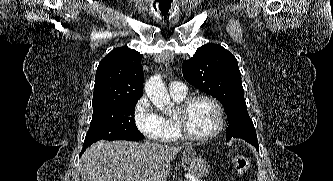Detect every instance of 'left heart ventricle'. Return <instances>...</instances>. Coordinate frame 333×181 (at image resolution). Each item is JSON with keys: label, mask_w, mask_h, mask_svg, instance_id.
<instances>
[{"label": "left heart ventricle", "mask_w": 333, "mask_h": 181, "mask_svg": "<svg viewBox=\"0 0 333 181\" xmlns=\"http://www.w3.org/2000/svg\"><path fill=\"white\" fill-rule=\"evenodd\" d=\"M186 123L193 134L197 136L208 135L217 127V112L210 102L199 100L188 110Z\"/></svg>", "instance_id": "left-heart-ventricle-1"}]
</instances>
